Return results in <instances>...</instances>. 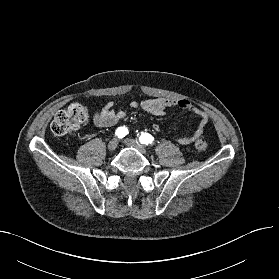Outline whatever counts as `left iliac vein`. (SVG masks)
<instances>
[{
	"mask_svg": "<svg viewBox=\"0 0 279 279\" xmlns=\"http://www.w3.org/2000/svg\"><path fill=\"white\" fill-rule=\"evenodd\" d=\"M124 143L127 146L136 148L140 153H142L144 155L148 154L146 147L144 145H142L140 142H138L137 140L127 138L124 140Z\"/></svg>",
	"mask_w": 279,
	"mask_h": 279,
	"instance_id": "left-iliac-vein-1",
	"label": "left iliac vein"
}]
</instances>
